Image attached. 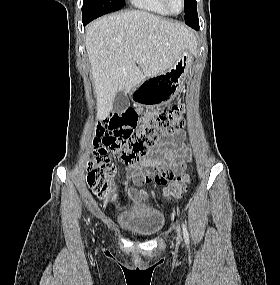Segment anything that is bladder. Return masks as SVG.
<instances>
[{
    "label": "bladder",
    "mask_w": 280,
    "mask_h": 285,
    "mask_svg": "<svg viewBox=\"0 0 280 285\" xmlns=\"http://www.w3.org/2000/svg\"><path fill=\"white\" fill-rule=\"evenodd\" d=\"M114 224L130 236L148 239L163 230L165 215L149 203L129 204L115 213Z\"/></svg>",
    "instance_id": "bladder-1"
}]
</instances>
